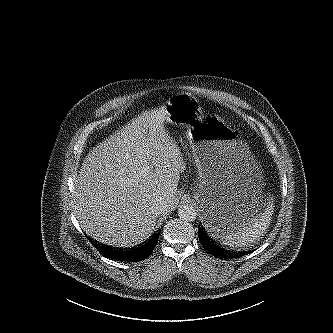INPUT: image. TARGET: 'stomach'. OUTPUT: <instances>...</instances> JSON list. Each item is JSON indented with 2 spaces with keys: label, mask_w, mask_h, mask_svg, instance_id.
<instances>
[{
  "label": "stomach",
  "mask_w": 333,
  "mask_h": 333,
  "mask_svg": "<svg viewBox=\"0 0 333 333\" xmlns=\"http://www.w3.org/2000/svg\"><path fill=\"white\" fill-rule=\"evenodd\" d=\"M166 120L188 128L189 146L198 168L193 196L202 209L203 226L220 243L266 210L270 191L248 144L217 117H204L188 93L169 98Z\"/></svg>",
  "instance_id": "0dacf381"
}]
</instances>
